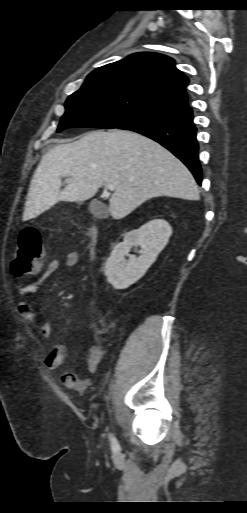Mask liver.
I'll return each mask as SVG.
<instances>
[{"instance_id": "liver-1", "label": "liver", "mask_w": 247, "mask_h": 513, "mask_svg": "<svg viewBox=\"0 0 247 513\" xmlns=\"http://www.w3.org/2000/svg\"><path fill=\"white\" fill-rule=\"evenodd\" d=\"M63 177L69 180L60 190ZM109 183L115 186L109 202L116 220L151 198L200 199L191 172L159 143L132 131L97 130L55 146L42 157L31 180L23 218L37 217L59 200H88Z\"/></svg>"}]
</instances>
